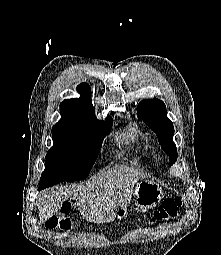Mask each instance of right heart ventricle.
<instances>
[{"label":"right heart ventricle","mask_w":221,"mask_h":255,"mask_svg":"<svg viewBox=\"0 0 221 255\" xmlns=\"http://www.w3.org/2000/svg\"><path fill=\"white\" fill-rule=\"evenodd\" d=\"M139 131L136 127L132 126L127 129L124 134V138L126 141L133 142L138 138Z\"/></svg>","instance_id":"1"}]
</instances>
